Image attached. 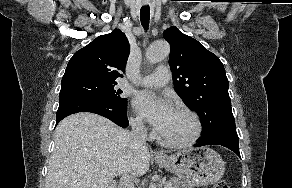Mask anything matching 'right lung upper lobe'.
I'll return each instance as SVG.
<instances>
[{"mask_svg":"<svg viewBox=\"0 0 292 188\" xmlns=\"http://www.w3.org/2000/svg\"><path fill=\"white\" fill-rule=\"evenodd\" d=\"M129 55V42L119 29L101 35L69 60L62 80L89 77L116 82L122 77Z\"/></svg>","mask_w":292,"mask_h":188,"instance_id":"cb5924a9","label":"right lung upper lobe"}]
</instances>
